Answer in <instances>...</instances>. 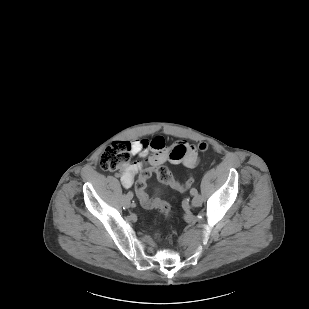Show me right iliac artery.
Returning <instances> with one entry per match:
<instances>
[{
    "label": "right iliac artery",
    "mask_w": 309,
    "mask_h": 309,
    "mask_svg": "<svg viewBox=\"0 0 309 309\" xmlns=\"http://www.w3.org/2000/svg\"><path fill=\"white\" fill-rule=\"evenodd\" d=\"M132 197H133L132 192H127L126 198H127V199H130V198H132Z\"/></svg>",
    "instance_id": "82829eb1"
}]
</instances>
